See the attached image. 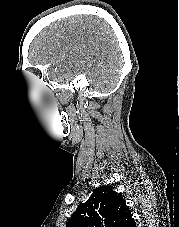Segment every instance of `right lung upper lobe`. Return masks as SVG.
I'll return each instance as SVG.
<instances>
[{
	"instance_id": "obj_1",
	"label": "right lung upper lobe",
	"mask_w": 179,
	"mask_h": 227,
	"mask_svg": "<svg viewBox=\"0 0 179 227\" xmlns=\"http://www.w3.org/2000/svg\"><path fill=\"white\" fill-rule=\"evenodd\" d=\"M135 225L131 211L123 197L111 186L97 188L82 203L66 224V227H132Z\"/></svg>"
}]
</instances>
